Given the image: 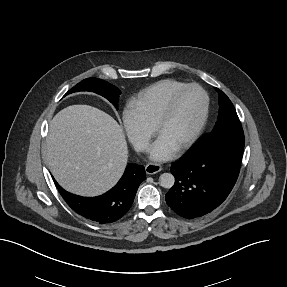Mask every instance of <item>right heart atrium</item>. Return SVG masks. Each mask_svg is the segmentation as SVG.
<instances>
[{"mask_svg":"<svg viewBox=\"0 0 287 287\" xmlns=\"http://www.w3.org/2000/svg\"><path fill=\"white\" fill-rule=\"evenodd\" d=\"M123 126L132 145L139 151H145L152 137V130L143 125L129 110L123 113Z\"/></svg>","mask_w":287,"mask_h":287,"instance_id":"obj_1","label":"right heart atrium"}]
</instances>
